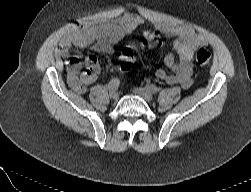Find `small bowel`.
<instances>
[{"mask_svg":"<svg viewBox=\"0 0 251 192\" xmlns=\"http://www.w3.org/2000/svg\"><path fill=\"white\" fill-rule=\"evenodd\" d=\"M138 24L137 17L125 15L115 23L105 22L65 36L61 41V51L66 57L69 86L75 92L83 94L86 92V86L93 83L100 72L98 60L92 54L85 58L86 67L81 72V61L70 53L73 46L89 47L99 53L112 54L114 44L131 33ZM155 28L165 36L173 38V48L177 54L165 56L166 69H157L156 77L168 85L180 84L183 88H189L193 83V54L197 48L206 45L205 37L188 26L159 24Z\"/></svg>","mask_w":251,"mask_h":192,"instance_id":"c3829d8e","label":"small bowel"}]
</instances>
